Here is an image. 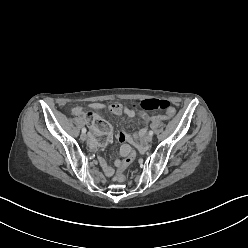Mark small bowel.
<instances>
[{
  "mask_svg": "<svg viewBox=\"0 0 248 248\" xmlns=\"http://www.w3.org/2000/svg\"><path fill=\"white\" fill-rule=\"evenodd\" d=\"M90 110H91V114L95 117V118H100L99 116V112L103 111V110H110L113 111L114 113L118 114V115H125L129 118H135L137 116V113L129 108V107H121V109L119 110H114L113 106H107L104 105L102 103H93L90 105ZM71 113L75 116L78 117H86L88 115V112L81 106H75L71 109ZM147 116L148 114L141 111L138 114V119H139V123L143 126V128L138 132V134L135 135H128L125 132H119L116 136V140L123 143L120 149V153L122 156H126L127 155V151L130 148L129 143L131 144H137V142L139 140H144L145 135H146V125L150 122L147 121ZM89 125L92 126L91 121L87 122ZM91 146L92 147H96V142L94 140L91 141ZM101 166L104 170V173L107 176H112L113 175V168L109 165L106 164V162L101 159L100 160ZM120 164V161L116 162V165L118 166Z\"/></svg>",
  "mask_w": 248,
  "mask_h": 248,
  "instance_id": "small-bowel-1",
  "label": "small bowel"
}]
</instances>
